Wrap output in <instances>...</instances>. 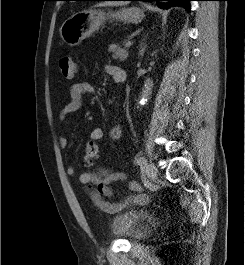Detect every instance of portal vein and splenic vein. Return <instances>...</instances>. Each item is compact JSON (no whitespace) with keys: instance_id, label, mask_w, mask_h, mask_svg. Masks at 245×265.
Masks as SVG:
<instances>
[{"instance_id":"obj_1","label":"portal vein and splenic vein","mask_w":245,"mask_h":265,"mask_svg":"<svg viewBox=\"0 0 245 265\" xmlns=\"http://www.w3.org/2000/svg\"><path fill=\"white\" fill-rule=\"evenodd\" d=\"M132 44H133V43L129 41V42H127V43L125 44V47H126V48H130V47L132 46Z\"/></svg>"}]
</instances>
